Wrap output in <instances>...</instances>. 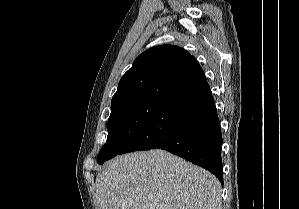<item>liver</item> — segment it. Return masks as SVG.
<instances>
[{
    "mask_svg": "<svg viewBox=\"0 0 299 209\" xmlns=\"http://www.w3.org/2000/svg\"><path fill=\"white\" fill-rule=\"evenodd\" d=\"M97 209H221L210 172L165 150L117 156L96 177Z\"/></svg>",
    "mask_w": 299,
    "mask_h": 209,
    "instance_id": "liver-1",
    "label": "liver"
}]
</instances>
